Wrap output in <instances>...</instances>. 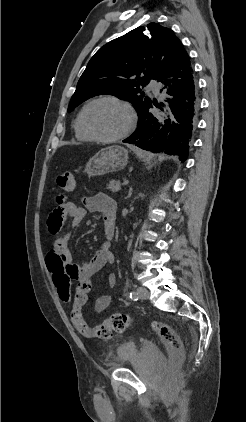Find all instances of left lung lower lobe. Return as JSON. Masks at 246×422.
I'll list each match as a JSON object with an SVG mask.
<instances>
[{
	"label": "left lung lower lobe",
	"mask_w": 246,
	"mask_h": 422,
	"mask_svg": "<svg viewBox=\"0 0 246 422\" xmlns=\"http://www.w3.org/2000/svg\"><path fill=\"white\" fill-rule=\"evenodd\" d=\"M160 82L165 85L167 94L171 96L167 98L171 110L170 118L165 120V125L159 129L158 119L151 113L150 108L153 105L158 108L160 106L155 100L152 101L139 116L136 131L123 142L152 152L177 155L181 161H185L196 128L199 100L190 57L183 45Z\"/></svg>",
	"instance_id": "1"
}]
</instances>
